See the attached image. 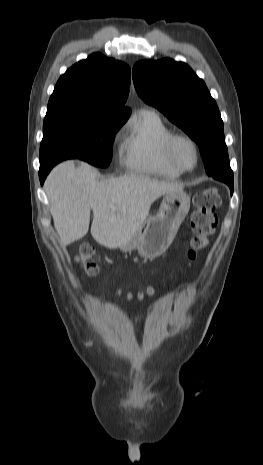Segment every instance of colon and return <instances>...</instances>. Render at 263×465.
<instances>
[{"label":"colon","mask_w":263,"mask_h":465,"mask_svg":"<svg viewBox=\"0 0 263 465\" xmlns=\"http://www.w3.org/2000/svg\"><path fill=\"white\" fill-rule=\"evenodd\" d=\"M193 203L195 210L191 216V229L194 236L188 251L190 260H195L198 252L208 245V237L217 227L218 219L215 211L220 205V196L216 188L209 187L198 192L193 198ZM93 253L92 246L85 244L80 247L77 257L83 270L89 275L98 272V265L91 260ZM151 292L152 289L149 288L147 293Z\"/></svg>","instance_id":"5ec220e1"}]
</instances>
